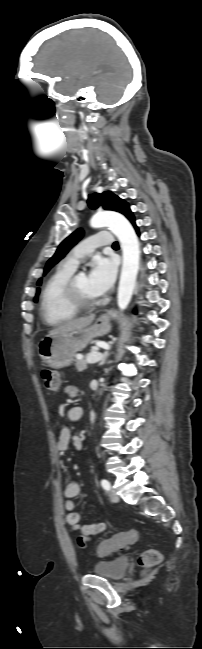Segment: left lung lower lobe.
I'll list each match as a JSON object with an SVG mask.
<instances>
[{
	"label": "left lung lower lobe",
	"mask_w": 202,
	"mask_h": 649,
	"mask_svg": "<svg viewBox=\"0 0 202 649\" xmlns=\"http://www.w3.org/2000/svg\"><path fill=\"white\" fill-rule=\"evenodd\" d=\"M129 221L132 223V225L134 226V228H135L137 234L139 235V229H138V227H137L136 224H135V218H134L133 215L129 218ZM135 313H136V312H135Z\"/></svg>",
	"instance_id": "obj_1"
}]
</instances>
